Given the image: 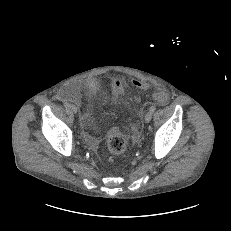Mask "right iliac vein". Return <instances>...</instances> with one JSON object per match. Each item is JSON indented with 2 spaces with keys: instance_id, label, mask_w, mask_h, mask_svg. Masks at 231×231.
Listing matches in <instances>:
<instances>
[{
  "instance_id": "1",
  "label": "right iliac vein",
  "mask_w": 231,
  "mask_h": 231,
  "mask_svg": "<svg viewBox=\"0 0 231 231\" xmlns=\"http://www.w3.org/2000/svg\"><path fill=\"white\" fill-rule=\"evenodd\" d=\"M69 109H70L73 113H75V114L78 112L77 107H76L75 105H73V104H70V105H69Z\"/></svg>"
}]
</instances>
